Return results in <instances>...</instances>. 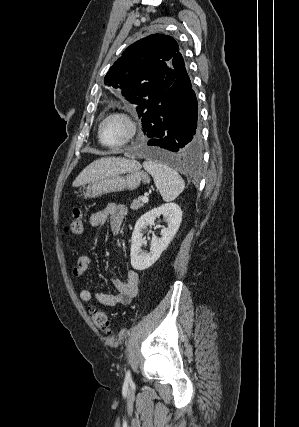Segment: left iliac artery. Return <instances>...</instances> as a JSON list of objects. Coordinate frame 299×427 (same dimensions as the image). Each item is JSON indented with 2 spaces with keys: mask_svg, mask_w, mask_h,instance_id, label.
<instances>
[{
  "mask_svg": "<svg viewBox=\"0 0 299 427\" xmlns=\"http://www.w3.org/2000/svg\"><path fill=\"white\" fill-rule=\"evenodd\" d=\"M125 378H126V380H131V373L129 370L126 372Z\"/></svg>",
  "mask_w": 299,
  "mask_h": 427,
  "instance_id": "left-iliac-artery-1",
  "label": "left iliac artery"
}]
</instances>
